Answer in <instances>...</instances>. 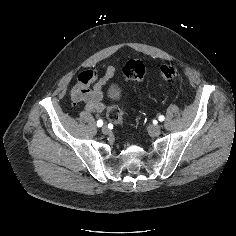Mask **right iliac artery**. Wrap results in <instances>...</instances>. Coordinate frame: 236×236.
I'll return each instance as SVG.
<instances>
[{"label":"right iliac artery","mask_w":236,"mask_h":236,"mask_svg":"<svg viewBox=\"0 0 236 236\" xmlns=\"http://www.w3.org/2000/svg\"><path fill=\"white\" fill-rule=\"evenodd\" d=\"M102 125H103V121H102L101 119L98 120V121H97V126H98V127H101Z\"/></svg>","instance_id":"82829eb1"}]
</instances>
